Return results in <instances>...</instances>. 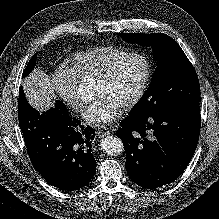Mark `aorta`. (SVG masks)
Listing matches in <instances>:
<instances>
[{
    "mask_svg": "<svg viewBox=\"0 0 219 219\" xmlns=\"http://www.w3.org/2000/svg\"><path fill=\"white\" fill-rule=\"evenodd\" d=\"M101 147L107 154L113 156L120 155L124 150L121 139L114 136H107L102 139Z\"/></svg>",
    "mask_w": 219,
    "mask_h": 219,
    "instance_id": "aorta-1",
    "label": "aorta"
}]
</instances>
